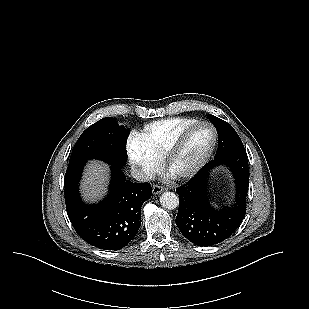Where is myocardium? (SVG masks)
Here are the masks:
<instances>
[{
  "instance_id": "myocardium-1",
  "label": "myocardium",
  "mask_w": 309,
  "mask_h": 309,
  "mask_svg": "<svg viewBox=\"0 0 309 309\" xmlns=\"http://www.w3.org/2000/svg\"><path fill=\"white\" fill-rule=\"evenodd\" d=\"M199 126H207L212 132V142L207 149V151L201 156V158L196 161L193 165L189 166L186 169L173 171L172 166L176 157L182 152L184 147L186 146L192 132L195 128ZM218 134L215 127L207 121H196L190 126H188L180 136L175 140V142L171 145L167 153L163 158L164 168L173 175L174 178L178 180H183L194 176L198 173L204 165L208 162L211 155L213 154L216 144H217Z\"/></svg>"
}]
</instances>
